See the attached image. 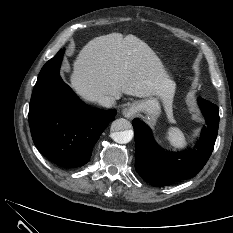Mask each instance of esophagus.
<instances>
[{"label":"esophagus","instance_id":"esophagus-1","mask_svg":"<svg viewBox=\"0 0 233 233\" xmlns=\"http://www.w3.org/2000/svg\"><path fill=\"white\" fill-rule=\"evenodd\" d=\"M123 115L127 118H133L137 112L136 107L134 105H130L123 109Z\"/></svg>","mask_w":233,"mask_h":233}]
</instances>
